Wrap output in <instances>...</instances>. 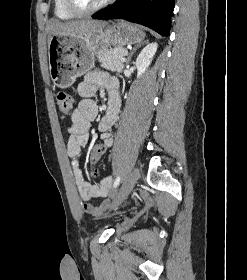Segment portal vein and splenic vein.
Segmentation results:
<instances>
[{
  "instance_id": "18ae733b",
  "label": "portal vein and splenic vein",
  "mask_w": 247,
  "mask_h": 280,
  "mask_svg": "<svg viewBox=\"0 0 247 280\" xmlns=\"http://www.w3.org/2000/svg\"><path fill=\"white\" fill-rule=\"evenodd\" d=\"M126 54H127V52H125V53L123 54V56L121 57V61H122V62H125V61H126V58L124 57Z\"/></svg>"
}]
</instances>
